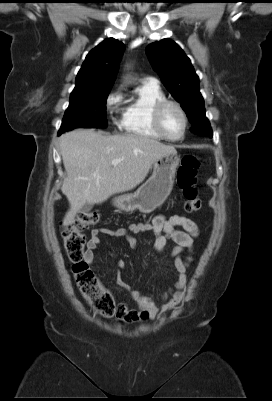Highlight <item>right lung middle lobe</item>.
I'll return each instance as SVG.
<instances>
[{"label": "right lung middle lobe", "instance_id": "obj_1", "mask_svg": "<svg viewBox=\"0 0 272 401\" xmlns=\"http://www.w3.org/2000/svg\"><path fill=\"white\" fill-rule=\"evenodd\" d=\"M110 90H95L70 97L58 134L78 127H107L106 99Z\"/></svg>", "mask_w": 272, "mask_h": 401}]
</instances>
